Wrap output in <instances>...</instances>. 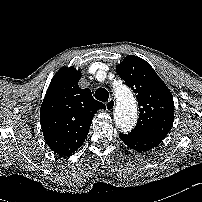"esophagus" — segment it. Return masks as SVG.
I'll return each mask as SVG.
<instances>
[{
    "mask_svg": "<svg viewBox=\"0 0 202 202\" xmlns=\"http://www.w3.org/2000/svg\"><path fill=\"white\" fill-rule=\"evenodd\" d=\"M116 102L113 98L109 99L106 102V110L107 111H112L115 108Z\"/></svg>",
    "mask_w": 202,
    "mask_h": 202,
    "instance_id": "esophagus-1",
    "label": "esophagus"
}]
</instances>
